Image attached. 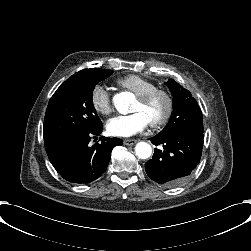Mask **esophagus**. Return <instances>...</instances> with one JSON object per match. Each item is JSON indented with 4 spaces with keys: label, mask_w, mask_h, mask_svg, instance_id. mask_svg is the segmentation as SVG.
<instances>
[{
    "label": "esophagus",
    "mask_w": 251,
    "mask_h": 251,
    "mask_svg": "<svg viewBox=\"0 0 251 251\" xmlns=\"http://www.w3.org/2000/svg\"><path fill=\"white\" fill-rule=\"evenodd\" d=\"M136 143H137V140H134V139H124V144L125 145L130 146V145H134Z\"/></svg>",
    "instance_id": "esophagus-1"
}]
</instances>
